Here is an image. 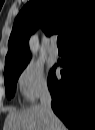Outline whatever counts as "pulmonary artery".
I'll return each mask as SVG.
<instances>
[{"label": "pulmonary artery", "mask_w": 95, "mask_h": 130, "mask_svg": "<svg viewBox=\"0 0 95 130\" xmlns=\"http://www.w3.org/2000/svg\"><path fill=\"white\" fill-rule=\"evenodd\" d=\"M49 53L52 55V56H57L58 55V47L55 43V40L52 41L50 47H49Z\"/></svg>", "instance_id": "e3ab8cb5"}]
</instances>
